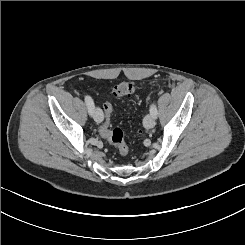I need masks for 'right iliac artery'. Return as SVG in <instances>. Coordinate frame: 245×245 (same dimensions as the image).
Instances as JSON below:
<instances>
[{
  "mask_svg": "<svg viewBox=\"0 0 245 245\" xmlns=\"http://www.w3.org/2000/svg\"><path fill=\"white\" fill-rule=\"evenodd\" d=\"M85 103L87 105L89 114L92 115L93 109H94V102H93L92 98L90 96L86 95L85 96Z\"/></svg>",
  "mask_w": 245,
  "mask_h": 245,
  "instance_id": "obj_1",
  "label": "right iliac artery"
}]
</instances>
